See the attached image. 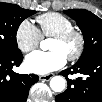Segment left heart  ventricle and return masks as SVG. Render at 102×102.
I'll use <instances>...</instances> for the list:
<instances>
[{
	"label": "left heart ventricle",
	"mask_w": 102,
	"mask_h": 102,
	"mask_svg": "<svg viewBox=\"0 0 102 102\" xmlns=\"http://www.w3.org/2000/svg\"><path fill=\"white\" fill-rule=\"evenodd\" d=\"M76 47H77L76 39H73L68 43H60L59 41L53 39L50 44V50L58 51L61 54H63L65 57L73 53Z\"/></svg>",
	"instance_id": "b2bd125f"
}]
</instances>
